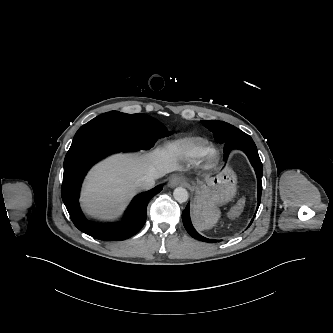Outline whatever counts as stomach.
<instances>
[{"label": "stomach", "mask_w": 333, "mask_h": 333, "mask_svg": "<svg viewBox=\"0 0 333 333\" xmlns=\"http://www.w3.org/2000/svg\"><path fill=\"white\" fill-rule=\"evenodd\" d=\"M195 195L191 214L198 229H210L219 220V205L231 201L237 189V176L230 166L223 167L216 176H205L192 185Z\"/></svg>", "instance_id": "1"}]
</instances>
